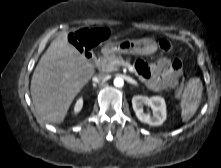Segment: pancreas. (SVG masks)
Instances as JSON below:
<instances>
[{
    "label": "pancreas",
    "mask_w": 221,
    "mask_h": 168,
    "mask_svg": "<svg viewBox=\"0 0 221 168\" xmlns=\"http://www.w3.org/2000/svg\"><path fill=\"white\" fill-rule=\"evenodd\" d=\"M122 61L121 56L115 54H109L102 56L98 61V67L104 72L117 71L119 63Z\"/></svg>",
    "instance_id": "1"
}]
</instances>
